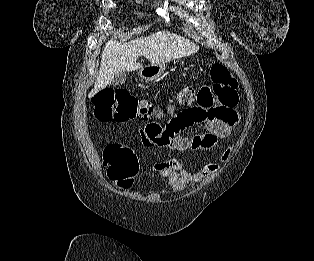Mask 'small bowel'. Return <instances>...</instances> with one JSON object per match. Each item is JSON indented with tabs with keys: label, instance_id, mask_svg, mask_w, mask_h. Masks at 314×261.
Listing matches in <instances>:
<instances>
[{
	"label": "small bowel",
	"instance_id": "small-bowel-1",
	"mask_svg": "<svg viewBox=\"0 0 314 261\" xmlns=\"http://www.w3.org/2000/svg\"><path fill=\"white\" fill-rule=\"evenodd\" d=\"M237 100L225 105L181 109L171 120H165L139 130L143 143L147 147L168 148L170 151L213 150L222 139L228 138L239 123V114L235 109ZM203 126V131L191 137L190 131ZM231 151L225 150L221 159L227 161ZM219 170V165L209 163L199 168H186L175 160L156 162L153 171L165 180L170 188L179 192L190 182L201 183Z\"/></svg>",
	"mask_w": 314,
	"mask_h": 261
}]
</instances>
